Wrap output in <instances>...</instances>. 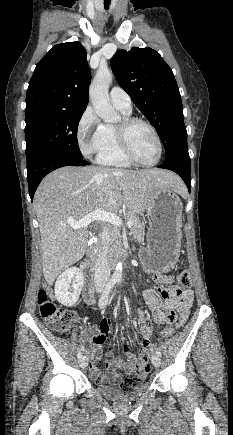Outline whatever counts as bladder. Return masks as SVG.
I'll use <instances>...</instances> for the list:
<instances>
[{
    "instance_id": "bladder-1",
    "label": "bladder",
    "mask_w": 233,
    "mask_h": 435,
    "mask_svg": "<svg viewBox=\"0 0 233 435\" xmlns=\"http://www.w3.org/2000/svg\"><path fill=\"white\" fill-rule=\"evenodd\" d=\"M148 389L145 383L136 385L133 389L125 391L117 383L98 384L97 390L105 397L114 401H125L142 395Z\"/></svg>"
}]
</instances>
